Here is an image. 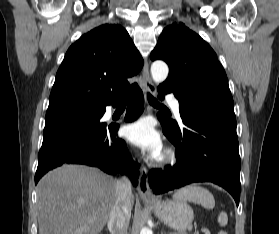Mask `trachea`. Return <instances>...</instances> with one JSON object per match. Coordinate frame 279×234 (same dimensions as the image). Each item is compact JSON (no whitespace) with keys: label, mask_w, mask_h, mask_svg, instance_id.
Segmentation results:
<instances>
[{"label":"trachea","mask_w":279,"mask_h":234,"mask_svg":"<svg viewBox=\"0 0 279 234\" xmlns=\"http://www.w3.org/2000/svg\"><path fill=\"white\" fill-rule=\"evenodd\" d=\"M147 98L151 104H159L158 101L150 93L147 94Z\"/></svg>","instance_id":"obj_1"}]
</instances>
